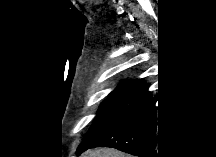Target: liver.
<instances>
[{
    "instance_id": "1",
    "label": "liver",
    "mask_w": 216,
    "mask_h": 157,
    "mask_svg": "<svg viewBox=\"0 0 216 157\" xmlns=\"http://www.w3.org/2000/svg\"><path fill=\"white\" fill-rule=\"evenodd\" d=\"M82 157H130V155L122 153L115 149L100 148V149L88 151L84 153Z\"/></svg>"
}]
</instances>
